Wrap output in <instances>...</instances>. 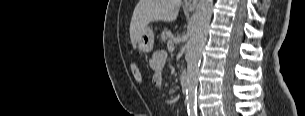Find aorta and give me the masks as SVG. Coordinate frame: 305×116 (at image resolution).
Returning <instances> with one entry per match:
<instances>
[{"label": "aorta", "mask_w": 305, "mask_h": 116, "mask_svg": "<svg viewBox=\"0 0 305 116\" xmlns=\"http://www.w3.org/2000/svg\"><path fill=\"white\" fill-rule=\"evenodd\" d=\"M212 10L213 0H199L190 30L186 76V99L188 112L190 113H194L196 110L198 70L202 49L208 34Z\"/></svg>", "instance_id": "aorta-1"}]
</instances>
